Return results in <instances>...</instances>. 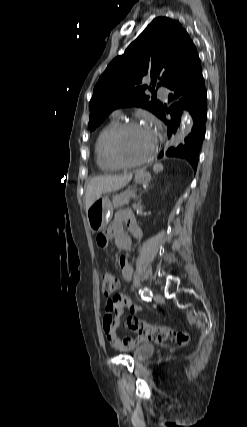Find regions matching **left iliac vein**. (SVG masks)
Wrapping results in <instances>:
<instances>
[{
  "label": "left iliac vein",
  "instance_id": "left-iliac-vein-1",
  "mask_svg": "<svg viewBox=\"0 0 247 427\" xmlns=\"http://www.w3.org/2000/svg\"><path fill=\"white\" fill-rule=\"evenodd\" d=\"M153 300L155 302H162L163 301V297L160 294H154Z\"/></svg>",
  "mask_w": 247,
  "mask_h": 427
}]
</instances>
